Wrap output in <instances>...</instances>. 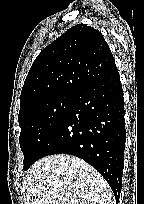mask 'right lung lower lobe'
<instances>
[{
    "label": "right lung lower lobe",
    "instance_id": "98d812e1",
    "mask_svg": "<svg viewBox=\"0 0 144 204\" xmlns=\"http://www.w3.org/2000/svg\"><path fill=\"white\" fill-rule=\"evenodd\" d=\"M125 141L124 98L116 68L76 94L39 159L64 153L85 160L106 179L118 202Z\"/></svg>",
    "mask_w": 144,
    "mask_h": 204
}]
</instances>
